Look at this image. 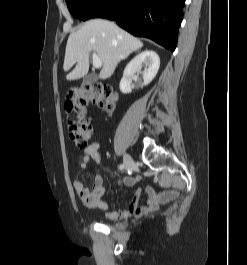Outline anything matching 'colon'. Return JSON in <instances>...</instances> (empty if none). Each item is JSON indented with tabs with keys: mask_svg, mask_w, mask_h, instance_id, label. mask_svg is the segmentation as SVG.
<instances>
[{
	"mask_svg": "<svg viewBox=\"0 0 247 265\" xmlns=\"http://www.w3.org/2000/svg\"><path fill=\"white\" fill-rule=\"evenodd\" d=\"M89 102L110 110L114 106L115 95L106 86H90L69 93L65 105L70 114L68 134L78 148H86L92 135V127L85 116Z\"/></svg>",
	"mask_w": 247,
	"mask_h": 265,
	"instance_id": "obj_1",
	"label": "colon"
}]
</instances>
